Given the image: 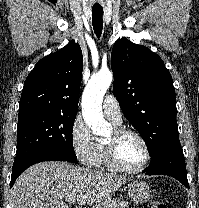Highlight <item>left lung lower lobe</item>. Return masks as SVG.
Returning <instances> with one entry per match:
<instances>
[{
  "instance_id": "1",
  "label": "left lung lower lobe",
  "mask_w": 199,
  "mask_h": 208,
  "mask_svg": "<svg viewBox=\"0 0 199 208\" xmlns=\"http://www.w3.org/2000/svg\"><path fill=\"white\" fill-rule=\"evenodd\" d=\"M144 171L147 175H169L189 188L186 164L179 139L166 145Z\"/></svg>"
}]
</instances>
